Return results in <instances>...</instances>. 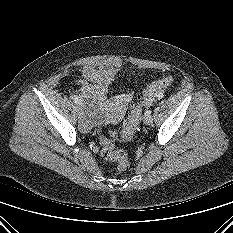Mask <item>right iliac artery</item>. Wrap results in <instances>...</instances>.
<instances>
[{"label": "right iliac artery", "instance_id": "obj_1", "mask_svg": "<svg viewBox=\"0 0 233 233\" xmlns=\"http://www.w3.org/2000/svg\"><path fill=\"white\" fill-rule=\"evenodd\" d=\"M71 98L75 103H79V99H78L77 95H72Z\"/></svg>", "mask_w": 233, "mask_h": 233}]
</instances>
